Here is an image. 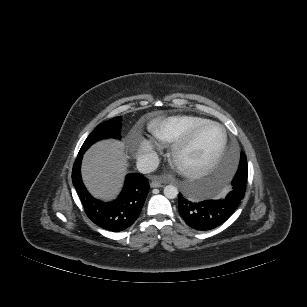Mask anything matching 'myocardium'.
Instances as JSON below:
<instances>
[{"label":"myocardium","instance_id":"1","mask_svg":"<svg viewBox=\"0 0 307 307\" xmlns=\"http://www.w3.org/2000/svg\"><path fill=\"white\" fill-rule=\"evenodd\" d=\"M210 126H216L220 129L221 134H222V140L221 143L216 150L215 154L211 157V159L204 163L203 165L197 166V167H182L178 164V158L180 154L186 150L196 139L198 134L203 131L205 128L210 127ZM228 143V136L226 133V130L224 127L215 121H207L203 124H200L193 128L187 135H185L181 140L176 142L171 151H170V158L173 163V165L185 176L187 177H201L206 174H208L218 163L220 158L222 157L226 146Z\"/></svg>","mask_w":307,"mask_h":307}]
</instances>
